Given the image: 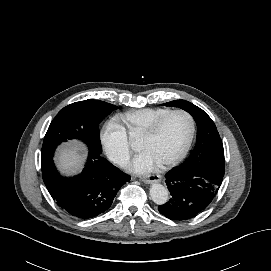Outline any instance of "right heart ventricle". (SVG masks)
Instances as JSON below:
<instances>
[{
    "instance_id": "e07e8e85",
    "label": "right heart ventricle",
    "mask_w": 271,
    "mask_h": 271,
    "mask_svg": "<svg viewBox=\"0 0 271 271\" xmlns=\"http://www.w3.org/2000/svg\"><path fill=\"white\" fill-rule=\"evenodd\" d=\"M169 107H148L126 111L117 116L118 123L129 134L144 131L149 125L170 112Z\"/></svg>"
}]
</instances>
